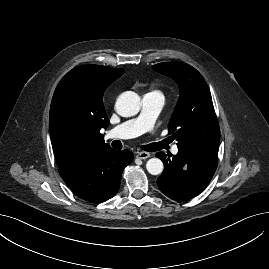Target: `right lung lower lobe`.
<instances>
[{
	"label": "right lung lower lobe",
	"instance_id": "right-lung-lower-lobe-1",
	"mask_svg": "<svg viewBox=\"0 0 269 269\" xmlns=\"http://www.w3.org/2000/svg\"><path fill=\"white\" fill-rule=\"evenodd\" d=\"M132 160L131 151L111 148L59 168V173L79 197L100 203L118 192L122 172Z\"/></svg>",
	"mask_w": 269,
	"mask_h": 269
}]
</instances>
